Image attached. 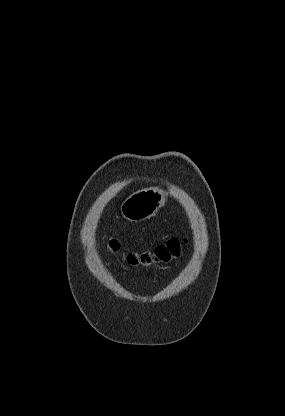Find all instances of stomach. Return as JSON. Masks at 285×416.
Returning a JSON list of instances; mask_svg holds the SVG:
<instances>
[{
	"label": "stomach",
	"mask_w": 285,
	"mask_h": 416,
	"mask_svg": "<svg viewBox=\"0 0 285 416\" xmlns=\"http://www.w3.org/2000/svg\"><path fill=\"white\" fill-rule=\"evenodd\" d=\"M165 194L159 188H147L134 192L129 198L124 200L120 206V212L123 218L129 222H140L147 220L157 214L159 208L164 206Z\"/></svg>",
	"instance_id": "0dacf381"
}]
</instances>
